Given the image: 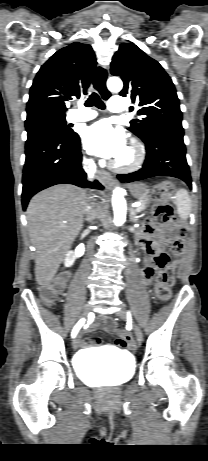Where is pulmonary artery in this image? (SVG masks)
<instances>
[{
	"label": "pulmonary artery",
	"mask_w": 208,
	"mask_h": 461,
	"mask_svg": "<svg viewBox=\"0 0 208 461\" xmlns=\"http://www.w3.org/2000/svg\"><path fill=\"white\" fill-rule=\"evenodd\" d=\"M111 112L121 113L126 109L125 99L123 97H112L108 103ZM96 117V113L90 109L74 112L69 116L70 122H85Z\"/></svg>",
	"instance_id": "1"
}]
</instances>
